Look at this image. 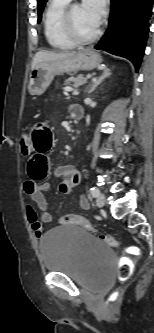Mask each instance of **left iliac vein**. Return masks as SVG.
<instances>
[{"mask_svg": "<svg viewBox=\"0 0 154 333\" xmlns=\"http://www.w3.org/2000/svg\"><path fill=\"white\" fill-rule=\"evenodd\" d=\"M96 205L98 207H103L105 205V195L103 193H99L97 196Z\"/></svg>", "mask_w": 154, "mask_h": 333, "instance_id": "4c4485c4", "label": "left iliac vein"}]
</instances>
